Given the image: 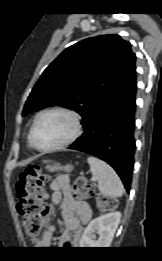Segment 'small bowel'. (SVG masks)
Returning <instances> with one entry per match:
<instances>
[{
    "mask_svg": "<svg viewBox=\"0 0 162 261\" xmlns=\"http://www.w3.org/2000/svg\"><path fill=\"white\" fill-rule=\"evenodd\" d=\"M51 202L60 205L62 210V220L64 231L60 236V247H65L70 242V233L78 232L83 225L88 223L92 217V211L84 201L75 200L71 195L70 180L67 175L56 177L51 185ZM45 198H48L46 195ZM54 226L51 225L43 233L36 245L42 248H49L52 245Z\"/></svg>",
    "mask_w": 162,
    "mask_h": 261,
    "instance_id": "small-bowel-1",
    "label": "small bowel"
}]
</instances>
